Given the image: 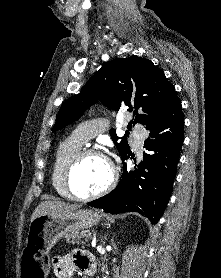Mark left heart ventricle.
<instances>
[{
    "instance_id": "1",
    "label": "left heart ventricle",
    "mask_w": 221,
    "mask_h": 278,
    "mask_svg": "<svg viewBox=\"0 0 221 278\" xmlns=\"http://www.w3.org/2000/svg\"><path fill=\"white\" fill-rule=\"evenodd\" d=\"M109 178L108 163L102 157L91 155L77 165L72 175V185L80 195H88L105 187Z\"/></svg>"
}]
</instances>
